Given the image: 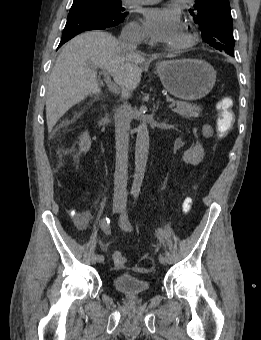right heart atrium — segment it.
Returning <instances> with one entry per match:
<instances>
[{
    "mask_svg": "<svg viewBox=\"0 0 261 340\" xmlns=\"http://www.w3.org/2000/svg\"><path fill=\"white\" fill-rule=\"evenodd\" d=\"M124 35L129 36V37H136L139 39H144L145 31L138 22L133 21L126 26L124 30Z\"/></svg>",
    "mask_w": 261,
    "mask_h": 340,
    "instance_id": "d8ad5b80",
    "label": "right heart atrium"
}]
</instances>
